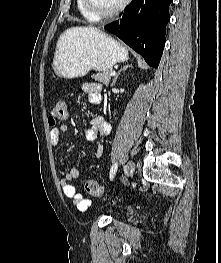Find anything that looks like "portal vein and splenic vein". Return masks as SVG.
I'll use <instances>...</instances> for the list:
<instances>
[{"instance_id": "obj_1", "label": "portal vein and splenic vein", "mask_w": 221, "mask_h": 263, "mask_svg": "<svg viewBox=\"0 0 221 263\" xmlns=\"http://www.w3.org/2000/svg\"><path fill=\"white\" fill-rule=\"evenodd\" d=\"M116 75V72L115 71H112L111 73H110V76H115Z\"/></svg>"}]
</instances>
